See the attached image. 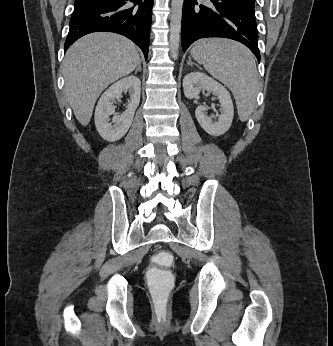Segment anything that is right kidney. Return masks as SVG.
Wrapping results in <instances>:
<instances>
[{"instance_id":"ca27d5eb","label":"right kidney","mask_w":333,"mask_h":346,"mask_svg":"<svg viewBox=\"0 0 333 346\" xmlns=\"http://www.w3.org/2000/svg\"><path fill=\"white\" fill-rule=\"evenodd\" d=\"M129 92L130 102L126 111L121 115H115L112 123L109 116L114 113L113 102L122 96V92ZM141 81L138 77H125L110 86L100 97L95 109V126L101 137L107 141H117L129 130L135 110L139 106Z\"/></svg>"}]
</instances>
